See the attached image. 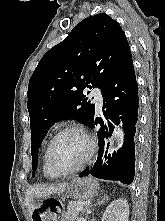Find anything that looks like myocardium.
Returning a JSON list of instances; mask_svg holds the SVG:
<instances>
[{"mask_svg": "<svg viewBox=\"0 0 165 221\" xmlns=\"http://www.w3.org/2000/svg\"><path fill=\"white\" fill-rule=\"evenodd\" d=\"M68 132H78V133L82 134L88 142V151H87V154L85 155V157L76 166H74L70 169L61 170V169H58L54 165L52 158H51V151H52V147H53L54 142L61 135L68 133ZM95 150H96L95 140L86 128H84L81 125H68V126L61 128L60 130H58L54 134V136L50 139V141L48 142L47 147H46V161H47V164H48V167L50 168V170L53 173H55L56 175H58V176L68 175V174H72L74 172H77L78 170L83 168L92 159V157L94 156Z\"/></svg>", "mask_w": 165, "mask_h": 221, "instance_id": "myocardium-1", "label": "myocardium"}]
</instances>
